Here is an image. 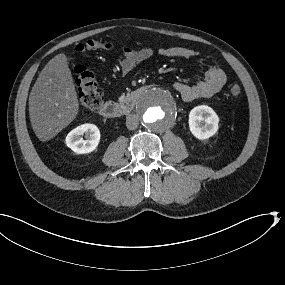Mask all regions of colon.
<instances>
[{"mask_svg":"<svg viewBox=\"0 0 285 285\" xmlns=\"http://www.w3.org/2000/svg\"><path fill=\"white\" fill-rule=\"evenodd\" d=\"M113 48L114 46L111 43L89 39L84 43L78 44L75 50L78 53H83L98 49L111 50ZM73 72L82 107L88 111L99 109L103 103V95L99 90L96 76L84 65H76ZM229 92L232 96H239L241 87L238 84H232Z\"/></svg>","mask_w":285,"mask_h":285,"instance_id":"obj_1","label":"colon"}]
</instances>
